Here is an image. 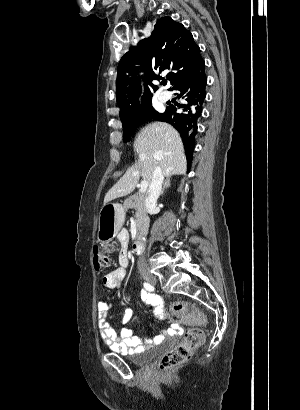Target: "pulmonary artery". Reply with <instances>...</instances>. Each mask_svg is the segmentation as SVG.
<instances>
[{
	"label": "pulmonary artery",
	"mask_w": 300,
	"mask_h": 410,
	"mask_svg": "<svg viewBox=\"0 0 300 410\" xmlns=\"http://www.w3.org/2000/svg\"><path fill=\"white\" fill-rule=\"evenodd\" d=\"M171 98V94L167 91H163L160 93L159 99L161 102L165 103Z\"/></svg>",
	"instance_id": "e3ab8cb5"
}]
</instances>
